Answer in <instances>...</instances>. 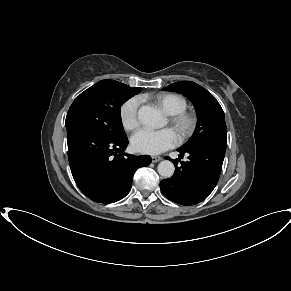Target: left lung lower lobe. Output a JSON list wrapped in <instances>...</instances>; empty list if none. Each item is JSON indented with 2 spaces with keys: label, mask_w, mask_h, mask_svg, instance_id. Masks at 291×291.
<instances>
[{
  "label": "left lung lower lobe",
  "mask_w": 291,
  "mask_h": 291,
  "mask_svg": "<svg viewBox=\"0 0 291 291\" xmlns=\"http://www.w3.org/2000/svg\"><path fill=\"white\" fill-rule=\"evenodd\" d=\"M177 151L181 153L180 156L189 154V161H181V166L178 167L180 160H173L175 173L171 178L160 182V189L175 203L195 205L203 201L216 186L226 146L200 144L179 148Z\"/></svg>",
  "instance_id": "0a47b994"
}]
</instances>
